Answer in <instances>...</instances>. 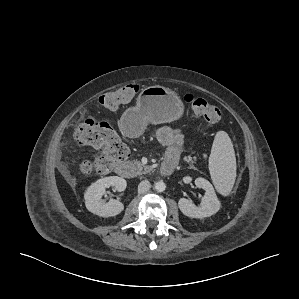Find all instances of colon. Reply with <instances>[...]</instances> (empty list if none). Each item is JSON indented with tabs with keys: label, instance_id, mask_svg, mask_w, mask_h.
I'll return each instance as SVG.
<instances>
[{
	"label": "colon",
	"instance_id": "obj_1",
	"mask_svg": "<svg viewBox=\"0 0 299 299\" xmlns=\"http://www.w3.org/2000/svg\"><path fill=\"white\" fill-rule=\"evenodd\" d=\"M138 91L139 86L137 85H125L101 95L99 104L107 109H116L130 102ZM183 100L195 114L202 117L208 124L213 125L220 121V109L206 99L193 94H185ZM74 137L80 144L100 150L93 160L84 161L81 164L80 168L84 173L107 174L128 155L127 147L112 127L105 122L83 121L75 128Z\"/></svg>",
	"mask_w": 299,
	"mask_h": 299
}]
</instances>
